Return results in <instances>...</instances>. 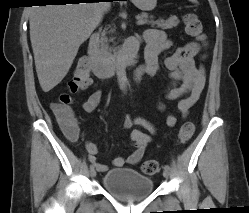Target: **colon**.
<instances>
[{
  "instance_id": "colon-1",
  "label": "colon",
  "mask_w": 249,
  "mask_h": 213,
  "mask_svg": "<svg viewBox=\"0 0 249 213\" xmlns=\"http://www.w3.org/2000/svg\"><path fill=\"white\" fill-rule=\"evenodd\" d=\"M185 30L188 35L196 37L202 42L206 38L202 33V26L197 16L193 13H186L183 16ZM91 84V73L85 59H81L75 69L74 76L68 84V92L62 93L58 100L51 103V109L57 117L60 124L71 126L73 123V115L71 111V104L73 101L72 95L85 90ZM195 125L192 122L184 123L178 131V140L180 142L187 141L194 133ZM158 163L155 160H147L142 166L141 170L146 175H153L158 171Z\"/></svg>"
}]
</instances>
